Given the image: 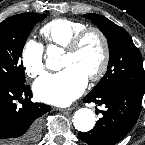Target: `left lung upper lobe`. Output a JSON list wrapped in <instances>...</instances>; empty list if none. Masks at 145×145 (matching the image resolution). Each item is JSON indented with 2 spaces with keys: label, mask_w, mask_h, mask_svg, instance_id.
Returning a JSON list of instances; mask_svg holds the SVG:
<instances>
[{
  "label": "left lung upper lobe",
  "mask_w": 145,
  "mask_h": 145,
  "mask_svg": "<svg viewBox=\"0 0 145 145\" xmlns=\"http://www.w3.org/2000/svg\"><path fill=\"white\" fill-rule=\"evenodd\" d=\"M83 17L92 20L102 31L110 50L108 70L89 94L99 95L121 87L144 92L142 58L130 35L101 15L90 13Z\"/></svg>",
  "instance_id": "left-lung-upper-lobe-1"
}]
</instances>
